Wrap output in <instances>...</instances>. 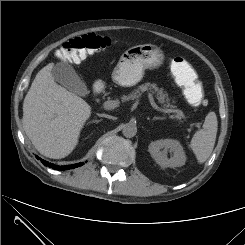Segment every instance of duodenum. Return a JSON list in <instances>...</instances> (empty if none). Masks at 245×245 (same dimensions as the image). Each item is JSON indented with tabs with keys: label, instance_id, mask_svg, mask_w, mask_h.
Returning <instances> with one entry per match:
<instances>
[{
	"label": "duodenum",
	"instance_id": "obj_1",
	"mask_svg": "<svg viewBox=\"0 0 245 245\" xmlns=\"http://www.w3.org/2000/svg\"><path fill=\"white\" fill-rule=\"evenodd\" d=\"M98 93H99V89L96 87L93 91V96L98 95Z\"/></svg>",
	"mask_w": 245,
	"mask_h": 245
}]
</instances>
